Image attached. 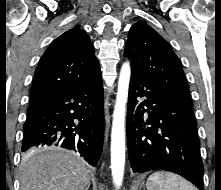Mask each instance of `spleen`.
<instances>
[{"mask_svg": "<svg viewBox=\"0 0 221 190\" xmlns=\"http://www.w3.org/2000/svg\"><path fill=\"white\" fill-rule=\"evenodd\" d=\"M148 190H197L182 177L169 172H155L146 182Z\"/></svg>", "mask_w": 221, "mask_h": 190, "instance_id": "1", "label": "spleen"}]
</instances>
